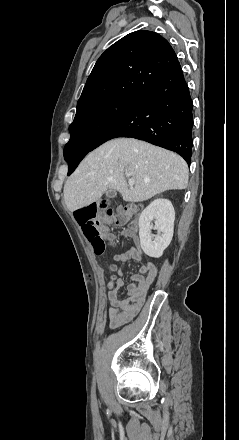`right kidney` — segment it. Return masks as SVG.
<instances>
[{
    "label": "right kidney",
    "mask_w": 239,
    "mask_h": 440,
    "mask_svg": "<svg viewBox=\"0 0 239 440\" xmlns=\"http://www.w3.org/2000/svg\"><path fill=\"white\" fill-rule=\"evenodd\" d=\"M174 220L175 210L169 200L158 198L143 210L139 218V236L145 257L158 258L159 253L171 246ZM151 230H157L158 236H152Z\"/></svg>",
    "instance_id": "ca27d5eb"
}]
</instances>
